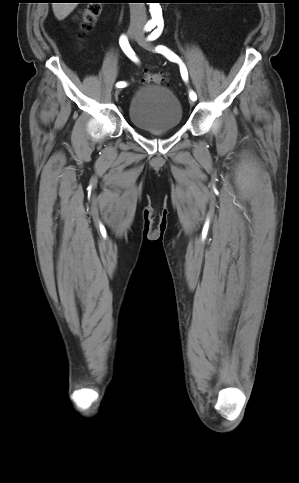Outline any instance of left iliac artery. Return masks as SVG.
Wrapping results in <instances>:
<instances>
[{
  "label": "left iliac artery",
  "instance_id": "44dca946",
  "mask_svg": "<svg viewBox=\"0 0 299 483\" xmlns=\"http://www.w3.org/2000/svg\"><path fill=\"white\" fill-rule=\"evenodd\" d=\"M162 23H158V29L154 30L147 38L149 41H153L159 37L162 31ZM156 52L163 54L166 56L170 61L177 62L180 65V73L185 82L188 81V72L187 68L184 65V63L181 61V59L173 53L171 50H169L167 47L163 45H158L155 49ZM189 97L191 100L195 101L197 99V95L194 91H190Z\"/></svg>",
  "mask_w": 299,
  "mask_h": 483
}]
</instances>
